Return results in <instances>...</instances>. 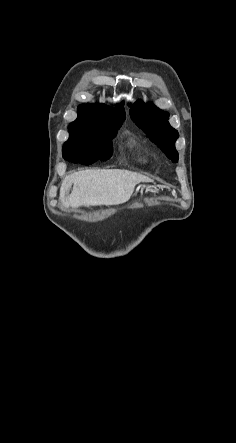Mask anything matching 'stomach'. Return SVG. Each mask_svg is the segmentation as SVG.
I'll use <instances>...</instances> for the list:
<instances>
[{
  "label": "stomach",
  "mask_w": 236,
  "mask_h": 443,
  "mask_svg": "<svg viewBox=\"0 0 236 443\" xmlns=\"http://www.w3.org/2000/svg\"><path fill=\"white\" fill-rule=\"evenodd\" d=\"M139 189H141V190L146 189V190H151V191H153V188H152L151 186H139V187L137 188V190H139Z\"/></svg>",
  "instance_id": "obj_1"
}]
</instances>
